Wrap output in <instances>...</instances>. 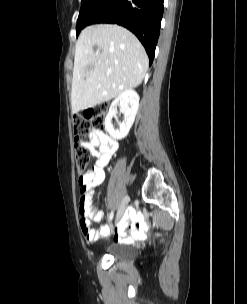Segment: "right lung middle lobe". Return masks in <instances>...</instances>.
I'll return each instance as SVG.
<instances>
[{"label": "right lung middle lobe", "mask_w": 247, "mask_h": 304, "mask_svg": "<svg viewBox=\"0 0 247 304\" xmlns=\"http://www.w3.org/2000/svg\"><path fill=\"white\" fill-rule=\"evenodd\" d=\"M102 0H82L81 9L77 20L76 32L77 36L83 29L84 18L101 2Z\"/></svg>", "instance_id": "dd1d6c3e"}]
</instances>
